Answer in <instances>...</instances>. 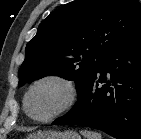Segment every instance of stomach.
<instances>
[{
    "instance_id": "obj_1",
    "label": "stomach",
    "mask_w": 141,
    "mask_h": 139,
    "mask_svg": "<svg viewBox=\"0 0 141 139\" xmlns=\"http://www.w3.org/2000/svg\"><path fill=\"white\" fill-rule=\"evenodd\" d=\"M27 139H81V137L75 131H46L32 134Z\"/></svg>"
}]
</instances>
